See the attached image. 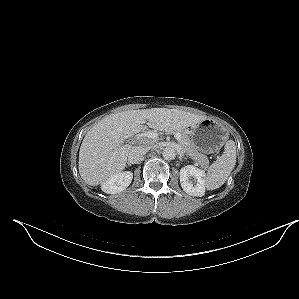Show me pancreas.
<instances>
[{"instance_id": "obj_1", "label": "pancreas", "mask_w": 299, "mask_h": 299, "mask_svg": "<svg viewBox=\"0 0 299 299\" xmlns=\"http://www.w3.org/2000/svg\"><path fill=\"white\" fill-rule=\"evenodd\" d=\"M170 133H179L181 138L179 143L182 145L183 149L194 161H196L202 168H207L209 165V160L206 155L199 153L196 148L191 143L189 136L186 131H169Z\"/></svg>"}]
</instances>
